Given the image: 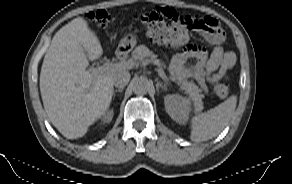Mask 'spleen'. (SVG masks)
I'll list each match as a JSON object with an SVG mask.
<instances>
[{"label":"spleen","instance_id":"obj_1","mask_svg":"<svg viewBox=\"0 0 292 184\" xmlns=\"http://www.w3.org/2000/svg\"><path fill=\"white\" fill-rule=\"evenodd\" d=\"M236 103L237 97L232 95L206 113L192 116L190 139L194 142H202L217 136L228 124L236 109Z\"/></svg>","mask_w":292,"mask_h":184}]
</instances>
